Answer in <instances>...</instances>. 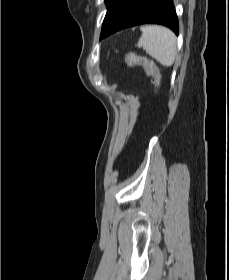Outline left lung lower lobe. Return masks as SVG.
Returning a JSON list of instances; mask_svg holds the SVG:
<instances>
[{
	"label": "left lung lower lobe",
	"mask_w": 229,
	"mask_h": 280,
	"mask_svg": "<svg viewBox=\"0 0 229 280\" xmlns=\"http://www.w3.org/2000/svg\"><path fill=\"white\" fill-rule=\"evenodd\" d=\"M146 23L167 26L178 35L179 25L173 0H128L118 19L100 39L121 29Z\"/></svg>",
	"instance_id": "1"
}]
</instances>
